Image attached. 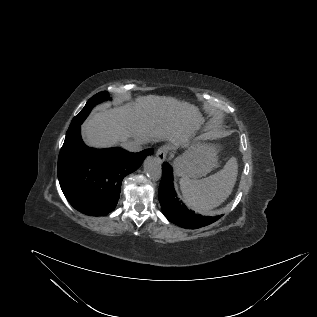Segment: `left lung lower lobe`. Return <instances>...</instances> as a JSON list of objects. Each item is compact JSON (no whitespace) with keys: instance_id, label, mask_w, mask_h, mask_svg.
Masks as SVG:
<instances>
[{"instance_id":"obj_1","label":"left lung lower lobe","mask_w":317,"mask_h":317,"mask_svg":"<svg viewBox=\"0 0 317 317\" xmlns=\"http://www.w3.org/2000/svg\"><path fill=\"white\" fill-rule=\"evenodd\" d=\"M162 180L159 187V201L163 214L170 222H173L183 228L197 229L207 226L217 221L221 216L206 217L197 215L193 211L187 209L177 197L173 187L172 168L167 163H163Z\"/></svg>"}]
</instances>
